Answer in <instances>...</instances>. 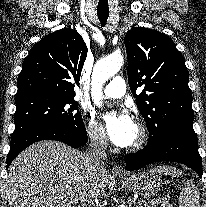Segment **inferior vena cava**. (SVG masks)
I'll list each match as a JSON object with an SVG mask.
<instances>
[{"label": "inferior vena cava", "instance_id": "602c4592", "mask_svg": "<svg viewBox=\"0 0 206 207\" xmlns=\"http://www.w3.org/2000/svg\"><path fill=\"white\" fill-rule=\"evenodd\" d=\"M90 144L86 159L88 167L93 172V175H98L106 171L104 160L107 158V137L101 130H94L89 133ZM82 207H99L92 200V197H86L82 201Z\"/></svg>", "mask_w": 206, "mask_h": 207}]
</instances>
